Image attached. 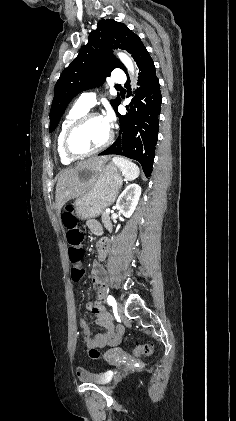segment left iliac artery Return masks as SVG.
Listing matches in <instances>:
<instances>
[{
	"mask_svg": "<svg viewBox=\"0 0 236 421\" xmlns=\"http://www.w3.org/2000/svg\"><path fill=\"white\" fill-rule=\"evenodd\" d=\"M107 302L110 306H116V300L113 296L109 295L107 298Z\"/></svg>",
	"mask_w": 236,
	"mask_h": 421,
	"instance_id": "1",
	"label": "left iliac artery"
}]
</instances>
